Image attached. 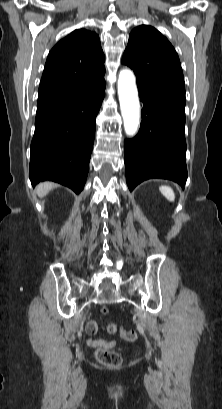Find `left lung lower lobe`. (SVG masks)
Instances as JSON below:
<instances>
[{
    "instance_id": "left-lung-lower-lobe-1",
    "label": "left lung lower lobe",
    "mask_w": 222,
    "mask_h": 409,
    "mask_svg": "<svg viewBox=\"0 0 222 409\" xmlns=\"http://www.w3.org/2000/svg\"><path fill=\"white\" fill-rule=\"evenodd\" d=\"M143 103L139 133L125 140V168L129 190L150 178H163L181 186L187 180L185 102L172 101L139 89Z\"/></svg>"
}]
</instances>
